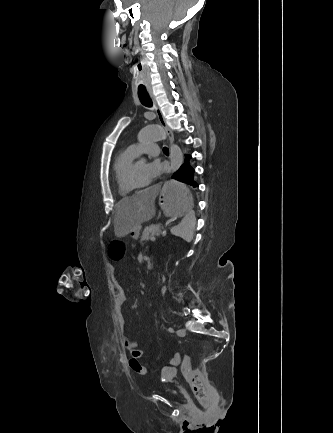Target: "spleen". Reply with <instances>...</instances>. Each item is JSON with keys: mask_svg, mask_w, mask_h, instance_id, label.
I'll use <instances>...</instances> for the list:
<instances>
[{"mask_svg": "<svg viewBox=\"0 0 333 433\" xmlns=\"http://www.w3.org/2000/svg\"><path fill=\"white\" fill-rule=\"evenodd\" d=\"M165 183H168L165 182ZM179 183V182H177ZM196 227V218L193 210H188V214L184 215L183 220L171 228V233L182 238L186 242H191L194 238Z\"/></svg>", "mask_w": 333, "mask_h": 433, "instance_id": "1", "label": "spleen"}]
</instances>
